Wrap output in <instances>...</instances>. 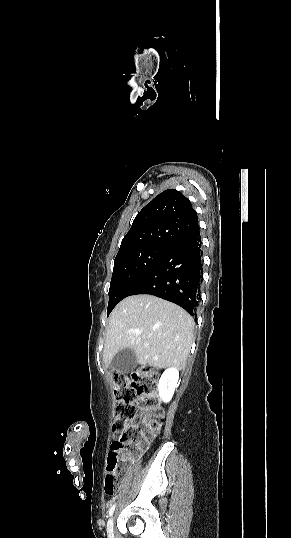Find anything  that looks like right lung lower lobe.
I'll return each instance as SVG.
<instances>
[{
    "label": "right lung lower lobe",
    "instance_id": "right-lung-lower-lobe-1",
    "mask_svg": "<svg viewBox=\"0 0 291 538\" xmlns=\"http://www.w3.org/2000/svg\"><path fill=\"white\" fill-rule=\"evenodd\" d=\"M202 272V244L198 231L172 246L130 295H154L194 315L200 300Z\"/></svg>",
    "mask_w": 291,
    "mask_h": 538
}]
</instances>
